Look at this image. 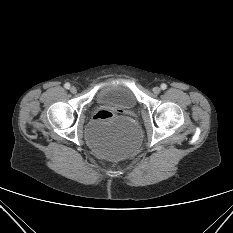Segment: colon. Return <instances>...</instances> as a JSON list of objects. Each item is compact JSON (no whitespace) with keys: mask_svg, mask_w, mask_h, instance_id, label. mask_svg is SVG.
Masks as SVG:
<instances>
[{"mask_svg":"<svg viewBox=\"0 0 233 233\" xmlns=\"http://www.w3.org/2000/svg\"><path fill=\"white\" fill-rule=\"evenodd\" d=\"M113 117V114L108 110H101L94 116V119L97 121H108Z\"/></svg>","mask_w":233,"mask_h":233,"instance_id":"obj_1","label":"colon"}]
</instances>
